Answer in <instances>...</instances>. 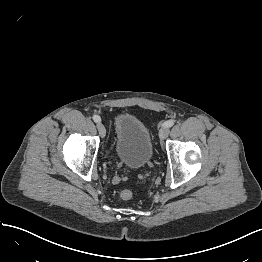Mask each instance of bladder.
Segmentation results:
<instances>
[{"label":"bladder","mask_w":262,"mask_h":262,"mask_svg":"<svg viewBox=\"0 0 262 262\" xmlns=\"http://www.w3.org/2000/svg\"><path fill=\"white\" fill-rule=\"evenodd\" d=\"M115 152L120 162L130 168H142L150 161L153 155L151 134L140 119L133 115L117 117Z\"/></svg>","instance_id":"bladder-1"}]
</instances>
